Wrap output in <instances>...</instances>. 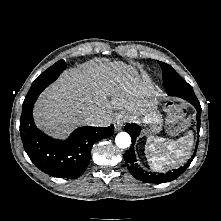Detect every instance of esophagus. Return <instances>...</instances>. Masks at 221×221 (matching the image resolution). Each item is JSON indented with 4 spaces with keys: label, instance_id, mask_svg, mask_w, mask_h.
Here are the masks:
<instances>
[{
    "label": "esophagus",
    "instance_id": "34e87169",
    "mask_svg": "<svg viewBox=\"0 0 221 221\" xmlns=\"http://www.w3.org/2000/svg\"><path fill=\"white\" fill-rule=\"evenodd\" d=\"M126 121V117L122 114H118L115 116V119H114V128L116 131H119L121 130L122 126L124 125Z\"/></svg>",
    "mask_w": 221,
    "mask_h": 221
}]
</instances>
